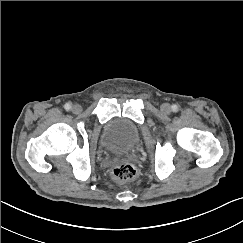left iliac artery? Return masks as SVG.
Here are the masks:
<instances>
[{"label": "left iliac artery", "instance_id": "44dca946", "mask_svg": "<svg viewBox=\"0 0 243 243\" xmlns=\"http://www.w3.org/2000/svg\"><path fill=\"white\" fill-rule=\"evenodd\" d=\"M172 110H173L174 112L178 111V106H177V105H173V106H172Z\"/></svg>", "mask_w": 243, "mask_h": 243}]
</instances>
